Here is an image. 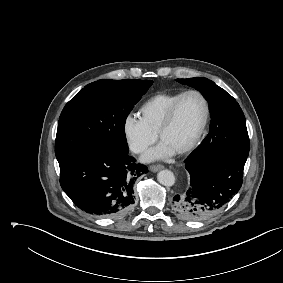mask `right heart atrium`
Here are the masks:
<instances>
[{
    "instance_id": "1",
    "label": "right heart atrium",
    "mask_w": 283,
    "mask_h": 283,
    "mask_svg": "<svg viewBox=\"0 0 283 283\" xmlns=\"http://www.w3.org/2000/svg\"><path fill=\"white\" fill-rule=\"evenodd\" d=\"M122 130L129 149L135 154L144 153L157 139V135L134 114L126 115Z\"/></svg>"
}]
</instances>
